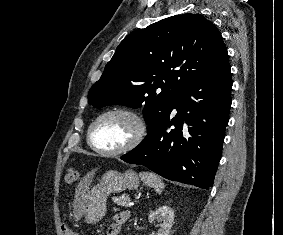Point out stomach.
Returning a JSON list of instances; mask_svg holds the SVG:
<instances>
[{
	"label": "stomach",
	"instance_id": "obj_1",
	"mask_svg": "<svg viewBox=\"0 0 283 235\" xmlns=\"http://www.w3.org/2000/svg\"><path fill=\"white\" fill-rule=\"evenodd\" d=\"M139 183V177L133 170L124 173L116 170L106 171L99 184L80 197V209L85 214L86 221L94 224L105 216L107 198L111 193L137 189Z\"/></svg>",
	"mask_w": 283,
	"mask_h": 235
}]
</instances>
